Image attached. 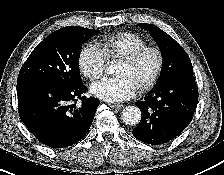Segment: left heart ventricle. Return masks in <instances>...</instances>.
I'll return each mask as SVG.
<instances>
[{
	"label": "left heart ventricle",
	"instance_id": "obj_1",
	"mask_svg": "<svg viewBox=\"0 0 224 175\" xmlns=\"http://www.w3.org/2000/svg\"><path fill=\"white\" fill-rule=\"evenodd\" d=\"M156 62V56L153 53L146 54L132 67L120 62L116 70V75L127 77L137 88L151 77L155 70Z\"/></svg>",
	"mask_w": 224,
	"mask_h": 175
}]
</instances>
